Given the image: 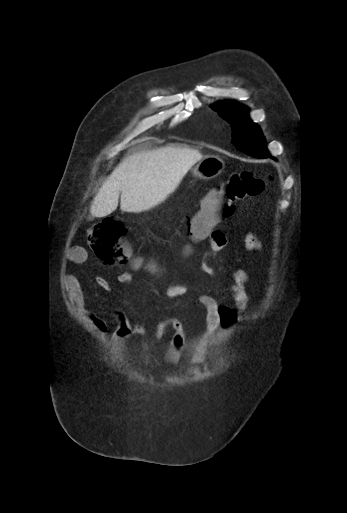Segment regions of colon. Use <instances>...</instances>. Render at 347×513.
Segmentation results:
<instances>
[{"mask_svg": "<svg viewBox=\"0 0 347 513\" xmlns=\"http://www.w3.org/2000/svg\"><path fill=\"white\" fill-rule=\"evenodd\" d=\"M264 188L265 180L251 171L232 174L204 195L197 215L188 221V235L194 240L203 239L233 214L237 202L260 195ZM126 234L120 220L105 218L89 229L88 241L101 261L124 264L129 255Z\"/></svg>", "mask_w": 347, "mask_h": 513, "instance_id": "colon-1", "label": "colon"}]
</instances>
